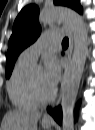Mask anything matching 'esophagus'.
<instances>
[{
  "label": "esophagus",
  "instance_id": "esophagus-1",
  "mask_svg": "<svg viewBox=\"0 0 95 130\" xmlns=\"http://www.w3.org/2000/svg\"><path fill=\"white\" fill-rule=\"evenodd\" d=\"M63 29L65 30L68 38H69V47L66 51V54H67V60H68V65L70 63V60H71V57H72V53H73V50H74V41H73V35H72V32L70 30V28L66 25V24H63ZM60 100L58 99V101L56 102V106L59 104ZM43 119L44 120H52V117L50 114H45L43 116Z\"/></svg>",
  "mask_w": 95,
  "mask_h": 130
}]
</instances>
